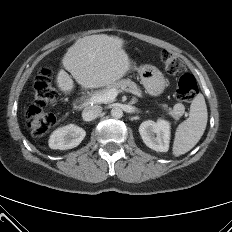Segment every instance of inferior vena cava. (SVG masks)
<instances>
[{"mask_svg":"<svg viewBox=\"0 0 232 232\" xmlns=\"http://www.w3.org/2000/svg\"><path fill=\"white\" fill-rule=\"evenodd\" d=\"M101 112H102L101 106L98 105L89 106L85 108L82 113L83 120L87 122L92 121L98 116H100Z\"/></svg>","mask_w":232,"mask_h":232,"instance_id":"obj_1","label":"inferior vena cava"}]
</instances>
